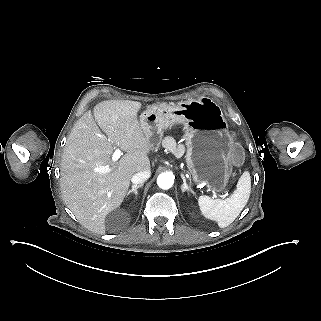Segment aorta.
Returning a JSON list of instances; mask_svg holds the SVG:
<instances>
[{
    "label": "aorta",
    "instance_id": "obj_1",
    "mask_svg": "<svg viewBox=\"0 0 321 321\" xmlns=\"http://www.w3.org/2000/svg\"><path fill=\"white\" fill-rule=\"evenodd\" d=\"M174 176L171 173H162L157 178V185L161 189H169L173 186Z\"/></svg>",
    "mask_w": 321,
    "mask_h": 321
}]
</instances>
